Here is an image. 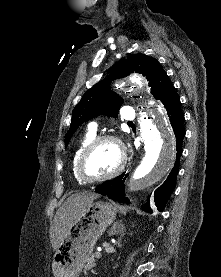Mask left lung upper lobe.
I'll return each mask as SVG.
<instances>
[{
  "mask_svg": "<svg viewBox=\"0 0 221 277\" xmlns=\"http://www.w3.org/2000/svg\"><path fill=\"white\" fill-rule=\"evenodd\" d=\"M132 72L141 73L146 77L155 99L162 101L168 90L173 86L156 59L144 54H133L129 58L121 60L112 70L110 77L90 88L75 106L71 125L65 136L66 146L69 144L74 132L83 122L101 114L112 117L117 116L123 99L110 90L109 82Z\"/></svg>",
  "mask_w": 221,
  "mask_h": 277,
  "instance_id": "5c2ea615",
  "label": "left lung upper lobe"
}]
</instances>
